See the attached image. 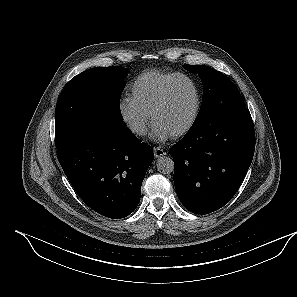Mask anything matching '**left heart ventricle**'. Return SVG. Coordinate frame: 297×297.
Segmentation results:
<instances>
[{"label":"left heart ventricle","instance_id":"left-heart-ventricle-1","mask_svg":"<svg viewBox=\"0 0 297 297\" xmlns=\"http://www.w3.org/2000/svg\"><path fill=\"white\" fill-rule=\"evenodd\" d=\"M195 106V92L186 80L177 81L163 107L155 114L153 125L174 134L190 120Z\"/></svg>","mask_w":297,"mask_h":297}]
</instances>
